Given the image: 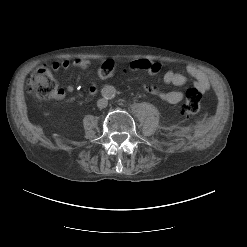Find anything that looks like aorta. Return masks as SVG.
Wrapping results in <instances>:
<instances>
[{"label":"aorta","instance_id":"762f6f07","mask_svg":"<svg viewBox=\"0 0 247 247\" xmlns=\"http://www.w3.org/2000/svg\"><path fill=\"white\" fill-rule=\"evenodd\" d=\"M103 94L107 99H113L116 95V89L113 86L107 85L103 89Z\"/></svg>","mask_w":247,"mask_h":247}]
</instances>
